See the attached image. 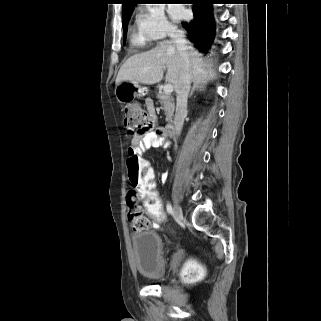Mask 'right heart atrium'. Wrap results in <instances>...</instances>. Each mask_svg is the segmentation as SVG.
Listing matches in <instances>:
<instances>
[{"label":"right heart atrium","mask_w":321,"mask_h":321,"mask_svg":"<svg viewBox=\"0 0 321 321\" xmlns=\"http://www.w3.org/2000/svg\"><path fill=\"white\" fill-rule=\"evenodd\" d=\"M136 23L138 30L150 40H161L175 32L174 25L166 18L163 10L154 5L141 8Z\"/></svg>","instance_id":"1"}]
</instances>
